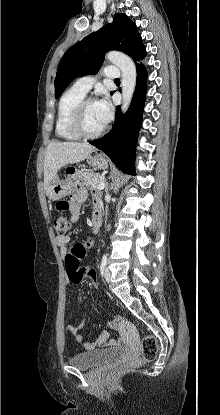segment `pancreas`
<instances>
[{
    "label": "pancreas",
    "instance_id": "cf45deb5",
    "mask_svg": "<svg viewBox=\"0 0 220 415\" xmlns=\"http://www.w3.org/2000/svg\"><path fill=\"white\" fill-rule=\"evenodd\" d=\"M80 176L84 184L92 189H96L99 184L105 180V176L103 174L93 172L81 171Z\"/></svg>",
    "mask_w": 220,
    "mask_h": 415
}]
</instances>
